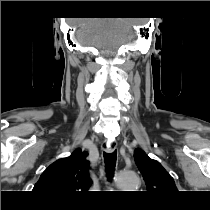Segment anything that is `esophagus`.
<instances>
[{
    "mask_svg": "<svg viewBox=\"0 0 210 210\" xmlns=\"http://www.w3.org/2000/svg\"><path fill=\"white\" fill-rule=\"evenodd\" d=\"M115 148H116V142H114V141L105 140V142L102 145V149L108 153L113 152L115 150Z\"/></svg>",
    "mask_w": 210,
    "mask_h": 210,
    "instance_id": "esophagus-1",
    "label": "esophagus"
}]
</instances>
